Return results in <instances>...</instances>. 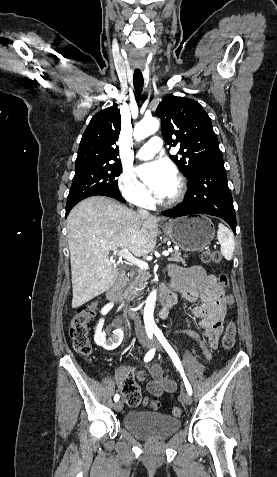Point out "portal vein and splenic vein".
<instances>
[{
    "mask_svg": "<svg viewBox=\"0 0 277 477\" xmlns=\"http://www.w3.org/2000/svg\"><path fill=\"white\" fill-rule=\"evenodd\" d=\"M169 253L170 251L169 250H165L162 252V255L163 256H169ZM118 256L124 258L125 260H127L128 262H130L131 264H134L136 265L137 267L143 269V270H146L148 269V264L147 262L143 261V260H140L138 258H136L135 256H133L128 249L126 248H122L120 249L118 252H117Z\"/></svg>",
    "mask_w": 277,
    "mask_h": 477,
    "instance_id": "obj_1",
    "label": "portal vein and splenic vein"
}]
</instances>
